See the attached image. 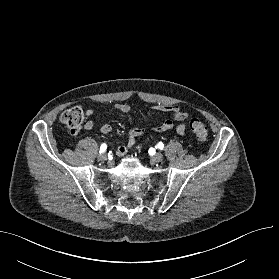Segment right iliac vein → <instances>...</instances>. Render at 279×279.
Here are the masks:
<instances>
[{
	"label": "right iliac vein",
	"instance_id": "63e3f726",
	"mask_svg": "<svg viewBox=\"0 0 279 279\" xmlns=\"http://www.w3.org/2000/svg\"><path fill=\"white\" fill-rule=\"evenodd\" d=\"M98 159L100 161H106L107 160V155L105 153H101L99 156H98Z\"/></svg>",
	"mask_w": 279,
	"mask_h": 279
}]
</instances>
